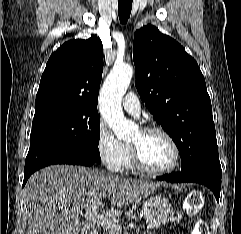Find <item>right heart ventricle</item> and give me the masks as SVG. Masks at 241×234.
<instances>
[{"instance_id":"obj_1","label":"right heart ventricle","mask_w":241,"mask_h":234,"mask_svg":"<svg viewBox=\"0 0 241 234\" xmlns=\"http://www.w3.org/2000/svg\"><path fill=\"white\" fill-rule=\"evenodd\" d=\"M121 170L128 171V172L135 170V167L131 160L129 144H124V152H123V157H122Z\"/></svg>"}]
</instances>
